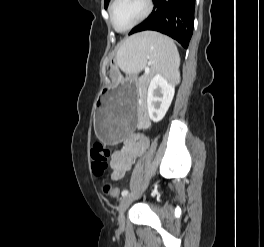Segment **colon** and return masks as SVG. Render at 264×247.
<instances>
[{"mask_svg":"<svg viewBox=\"0 0 264 247\" xmlns=\"http://www.w3.org/2000/svg\"><path fill=\"white\" fill-rule=\"evenodd\" d=\"M110 152L102 144L97 143L91 148L92 171L96 177L104 174L108 167ZM102 193L107 197H117L119 190L110 180L104 179L101 182Z\"/></svg>","mask_w":264,"mask_h":247,"instance_id":"5ec220e1","label":"colon"}]
</instances>
